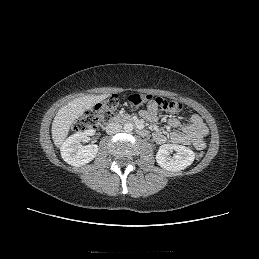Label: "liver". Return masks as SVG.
Masks as SVG:
<instances>
[{
  "label": "liver",
  "instance_id": "obj_1",
  "mask_svg": "<svg viewBox=\"0 0 259 259\" xmlns=\"http://www.w3.org/2000/svg\"><path fill=\"white\" fill-rule=\"evenodd\" d=\"M109 94L88 95L76 98L60 108L52 122V139L56 147H60L68 135L75 120L97 103L106 99Z\"/></svg>",
  "mask_w": 259,
  "mask_h": 259
}]
</instances>
